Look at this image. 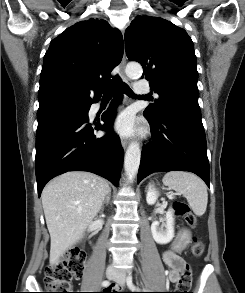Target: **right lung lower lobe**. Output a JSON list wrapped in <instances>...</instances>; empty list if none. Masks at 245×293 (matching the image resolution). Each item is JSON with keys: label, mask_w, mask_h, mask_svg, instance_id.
Masks as SVG:
<instances>
[{"label": "right lung lower lobe", "mask_w": 245, "mask_h": 293, "mask_svg": "<svg viewBox=\"0 0 245 293\" xmlns=\"http://www.w3.org/2000/svg\"><path fill=\"white\" fill-rule=\"evenodd\" d=\"M121 98L122 92L117 89L115 103ZM114 115L112 106L103 114V124L89 123L87 115L60 121L37 134L35 168L39 197L50 179L68 171L92 172L118 185L124 151L112 130ZM95 130H106L107 134L98 138Z\"/></svg>", "instance_id": "1"}]
</instances>
